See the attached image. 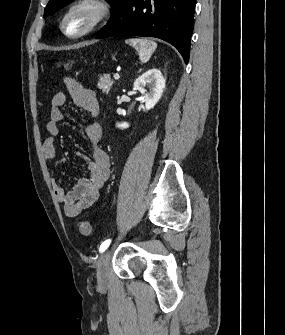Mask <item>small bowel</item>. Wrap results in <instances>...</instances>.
<instances>
[{
	"instance_id": "small-bowel-1",
	"label": "small bowel",
	"mask_w": 285,
	"mask_h": 335,
	"mask_svg": "<svg viewBox=\"0 0 285 335\" xmlns=\"http://www.w3.org/2000/svg\"><path fill=\"white\" fill-rule=\"evenodd\" d=\"M64 84L77 107L85 110L92 118L98 116L99 102L93 90L85 88L76 79L70 77L64 79ZM66 102L67 97L64 92H57L51 100L50 118L46 126L49 136L42 145L43 155L48 161L56 156L55 136L59 132L60 124L65 121L62 108ZM84 133L92 145V157L88 158L83 154H77V156L87 162V176L81 178L70 191L63 188L57 179L51 180L56 199L63 203L65 215L71 218L78 216L98 200L100 190L110 174V157L98 146L102 136L101 126L96 121H90L85 125Z\"/></svg>"
}]
</instances>
